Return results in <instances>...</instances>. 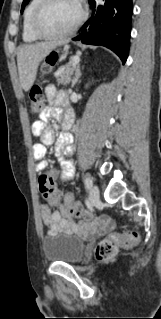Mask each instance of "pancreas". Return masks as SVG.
<instances>
[{"mask_svg":"<svg viewBox=\"0 0 161 319\" xmlns=\"http://www.w3.org/2000/svg\"><path fill=\"white\" fill-rule=\"evenodd\" d=\"M75 70L73 61H70L66 66L61 67L56 73L57 85H67L71 81V75Z\"/></svg>","mask_w":161,"mask_h":319,"instance_id":"pancreas-1","label":"pancreas"}]
</instances>
